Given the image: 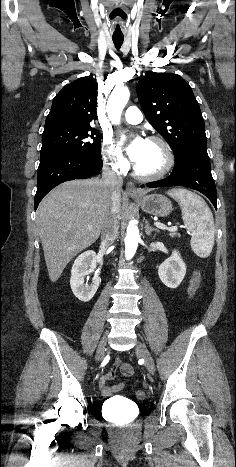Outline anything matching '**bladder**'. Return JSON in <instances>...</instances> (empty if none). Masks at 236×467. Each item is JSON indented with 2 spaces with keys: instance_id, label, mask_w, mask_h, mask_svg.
Listing matches in <instances>:
<instances>
[{
  "instance_id": "obj_1",
  "label": "bladder",
  "mask_w": 236,
  "mask_h": 467,
  "mask_svg": "<svg viewBox=\"0 0 236 467\" xmlns=\"http://www.w3.org/2000/svg\"><path fill=\"white\" fill-rule=\"evenodd\" d=\"M115 409H123L127 413V416L124 419L118 420L116 422V424L118 426L124 427V426L129 425L128 422H129L130 411L134 410V411L138 412L139 411V406L137 404H128V403L120 402L119 400H116V399H111L109 401V406L108 407L103 406V410L108 415H111V413Z\"/></svg>"
}]
</instances>
